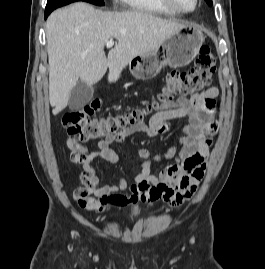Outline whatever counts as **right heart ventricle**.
<instances>
[{"label":"right heart ventricle","instance_id":"e07e8e85","mask_svg":"<svg viewBox=\"0 0 265 269\" xmlns=\"http://www.w3.org/2000/svg\"><path fill=\"white\" fill-rule=\"evenodd\" d=\"M121 2L134 11L167 15L177 14V12L162 4L160 0H121Z\"/></svg>","mask_w":265,"mask_h":269}]
</instances>
